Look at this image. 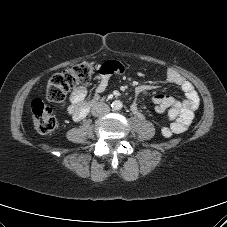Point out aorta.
I'll return each mask as SVG.
<instances>
[{"mask_svg": "<svg viewBox=\"0 0 227 227\" xmlns=\"http://www.w3.org/2000/svg\"><path fill=\"white\" fill-rule=\"evenodd\" d=\"M113 107H114V109H121L122 108V103L119 101V100H117V101H115L114 103H113Z\"/></svg>", "mask_w": 227, "mask_h": 227, "instance_id": "762f6f07", "label": "aorta"}]
</instances>
